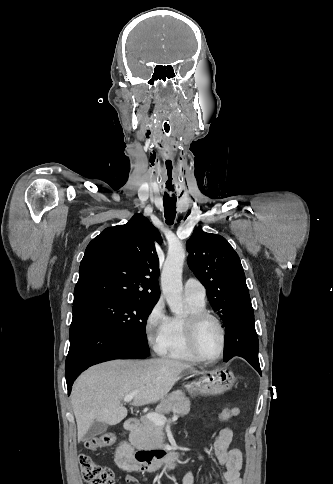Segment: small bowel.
Returning <instances> with one entry per match:
<instances>
[{
  "label": "small bowel",
  "instance_id": "obj_1",
  "mask_svg": "<svg viewBox=\"0 0 333 484\" xmlns=\"http://www.w3.org/2000/svg\"><path fill=\"white\" fill-rule=\"evenodd\" d=\"M241 411L238 407H232L228 419L238 417ZM233 439L231 429L222 428L215 436L212 444V451L216 461L225 468L222 483L213 484H242L240 470L242 468V453L238 448H229ZM128 484H140L131 475L126 477ZM182 484H194V476L191 471L184 474ZM204 484H208L205 482Z\"/></svg>",
  "mask_w": 333,
  "mask_h": 484
}]
</instances>
